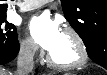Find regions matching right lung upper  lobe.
<instances>
[{"mask_svg": "<svg viewBox=\"0 0 107 75\" xmlns=\"http://www.w3.org/2000/svg\"><path fill=\"white\" fill-rule=\"evenodd\" d=\"M8 5L4 3V0L0 1V16H6Z\"/></svg>", "mask_w": 107, "mask_h": 75, "instance_id": "obj_1", "label": "right lung upper lobe"}]
</instances>
